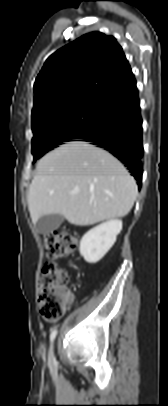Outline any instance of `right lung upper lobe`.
<instances>
[{"label":"right lung upper lobe","instance_id":"obj_1","mask_svg":"<svg viewBox=\"0 0 168 406\" xmlns=\"http://www.w3.org/2000/svg\"><path fill=\"white\" fill-rule=\"evenodd\" d=\"M134 83L116 39L85 34L46 60L34 84L32 123L79 101L105 100Z\"/></svg>","mask_w":168,"mask_h":406}]
</instances>
